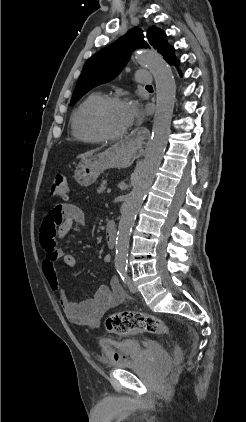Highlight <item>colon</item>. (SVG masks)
Here are the masks:
<instances>
[{
  "instance_id": "colon-1",
  "label": "colon",
  "mask_w": 246,
  "mask_h": 422,
  "mask_svg": "<svg viewBox=\"0 0 246 422\" xmlns=\"http://www.w3.org/2000/svg\"><path fill=\"white\" fill-rule=\"evenodd\" d=\"M69 186L64 175H57L50 187V195L64 198L68 195ZM106 329L111 333L127 334L132 332L168 335L166 324L156 316L137 312L123 311L110 315L105 322ZM179 355L178 350L175 351Z\"/></svg>"
}]
</instances>
